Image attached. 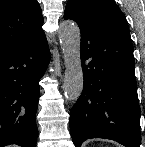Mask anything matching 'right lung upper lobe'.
<instances>
[{
	"label": "right lung upper lobe",
	"mask_w": 145,
	"mask_h": 147,
	"mask_svg": "<svg viewBox=\"0 0 145 147\" xmlns=\"http://www.w3.org/2000/svg\"><path fill=\"white\" fill-rule=\"evenodd\" d=\"M42 25L37 0H0V53L41 36Z\"/></svg>",
	"instance_id": "obj_1"
}]
</instances>
